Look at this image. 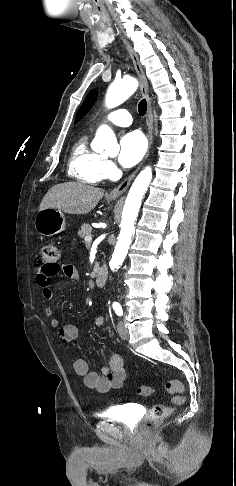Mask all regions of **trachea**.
Returning <instances> with one entry per match:
<instances>
[{"label":"trachea","instance_id":"3493384b","mask_svg":"<svg viewBox=\"0 0 236 486\" xmlns=\"http://www.w3.org/2000/svg\"><path fill=\"white\" fill-rule=\"evenodd\" d=\"M138 111H139V114L141 116H144L146 111H147V103H146V100L143 99L140 101L139 105H138Z\"/></svg>","mask_w":236,"mask_h":486}]
</instances>
